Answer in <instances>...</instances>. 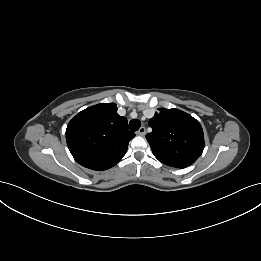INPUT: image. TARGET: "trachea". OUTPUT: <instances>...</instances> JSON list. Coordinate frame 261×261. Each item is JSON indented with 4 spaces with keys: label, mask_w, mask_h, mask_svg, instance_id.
I'll use <instances>...</instances> for the list:
<instances>
[{
    "label": "trachea",
    "mask_w": 261,
    "mask_h": 261,
    "mask_svg": "<svg viewBox=\"0 0 261 261\" xmlns=\"http://www.w3.org/2000/svg\"><path fill=\"white\" fill-rule=\"evenodd\" d=\"M141 126V122L138 119H133L129 122V128L131 131H137Z\"/></svg>",
    "instance_id": "1"
}]
</instances>
